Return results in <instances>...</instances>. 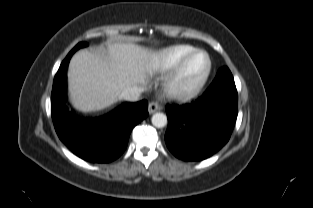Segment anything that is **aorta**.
<instances>
[{
  "mask_svg": "<svg viewBox=\"0 0 313 208\" xmlns=\"http://www.w3.org/2000/svg\"><path fill=\"white\" fill-rule=\"evenodd\" d=\"M152 124L157 128H162L167 124V116L163 113H155L151 118Z\"/></svg>",
  "mask_w": 313,
  "mask_h": 208,
  "instance_id": "obj_1",
  "label": "aorta"
}]
</instances>
